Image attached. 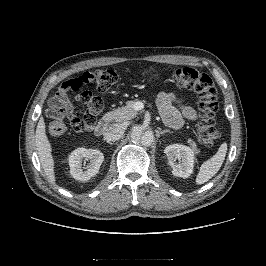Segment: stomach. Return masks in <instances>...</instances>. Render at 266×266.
<instances>
[{"label": "stomach", "mask_w": 266, "mask_h": 266, "mask_svg": "<svg viewBox=\"0 0 266 266\" xmlns=\"http://www.w3.org/2000/svg\"><path fill=\"white\" fill-rule=\"evenodd\" d=\"M156 79H158V75H152V76H150V77L147 79V81H148V82H151V81L156 80Z\"/></svg>", "instance_id": "stomach-1"}]
</instances>
